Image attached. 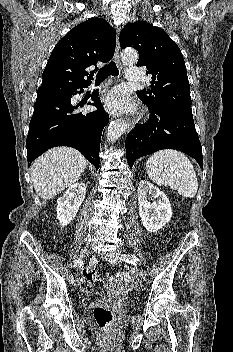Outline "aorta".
<instances>
[{"instance_id": "762f6f07", "label": "aorta", "mask_w": 233, "mask_h": 352, "mask_svg": "<svg viewBox=\"0 0 233 352\" xmlns=\"http://www.w3.org/2000/svg\"><path fill=\"white\" fill-rule=\"evenodd\" d=\"M122 59L128 63H135L138 60V54L133 49H127L122 54ZM127 123L124 120L118 119L113 121L107 130V139L109 142H116L119 137L125 132Z\"/></svg>"}]
</instances>
